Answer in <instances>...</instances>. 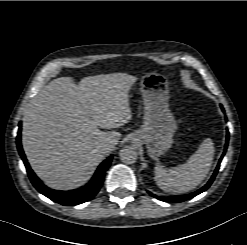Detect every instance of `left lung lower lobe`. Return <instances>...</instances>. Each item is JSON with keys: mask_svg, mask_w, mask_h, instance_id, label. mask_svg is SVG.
I'll list each match as a JSON object with an SVG mask.
<instances>
[{"mask_svg": "<svg viewBox=\"0 0 247 245\" xmlns=\"http://www.w3.org/2000/svg\"><path fill=\"white\" fill-rule=\"evenodd\" d=\"M221 108H222V106H221ZM222 110H223V108H222ZM228 141H229V133L227 132V137H226V144H225L224 153H223L222 157L220 158L219 163H218V165H217V167H216V169H215V171H214V173H213L211 179L209 180V182H208L204 187H202V188L199 189L198 191L193 192V193H191V194L184 195V196H178V197H161V196H156V195H154V194H152V193H150V194H151L153 197H155V198H157V199H159V200L165 201V202H177V203H179V202H183V201H185V200H189V199L195 197L196 195H198V194L204 192L205 190H207V189L209 188V186L212 184V182L214 181L215 176H216L217 173H218V170H219V167H220V162H221V160H222V158H223V156H224V154H225V151H226V149H227V146H228Z\"/></svg>", "mask_w": 247, "mask_h": 245, "instance_id": "1", "label": "left lung lower lobe"}]
</instances>
